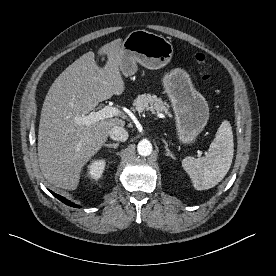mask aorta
Segmentation results:
<instances>
[{
    "label": "aorta",
    "instance_id": "1",
    "mask_svg": "<svg viewBox=\"0 0 276 276\" xmlns=\"http://www.w3.org/2000/svg\"><path fill=\"white\" fill-rule=\"evenodd\" d=\"M137 151L141 156H149L152 153V144L148 140H142L138 143Z\"/></svg>",
    "mask_w": 276,
    "mask_h": 276
}]
</instances>
